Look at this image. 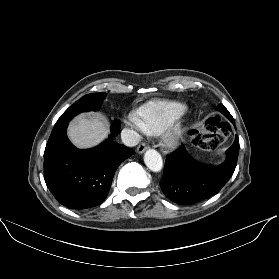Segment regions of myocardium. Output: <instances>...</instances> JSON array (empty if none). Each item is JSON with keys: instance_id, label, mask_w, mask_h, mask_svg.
<instances>
[{"instance_id": "1", "label": "myocardium", "mask_w": 279, "mask_h": 279, "mask_svg": "<svg viewBox=\"0 0 279 279\" xmlns=\"http://www.w3.org/2000/svg\"><path fill=\"white\" fill-rule=\"evenodd\" d=\"M185 126L182 123H178L173 127H170L164 132V141L166 145L172 147L177 145L183 137Z\"/></svg>"}]
</instances>
